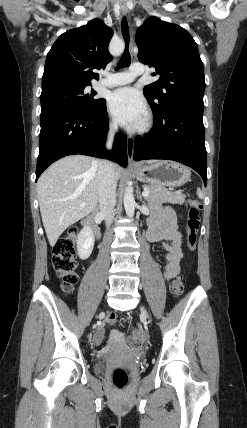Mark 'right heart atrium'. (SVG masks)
<instances>
[{"label": "right heart atrium", "instance_id": "1", "mask_svg": "<svg viewBox=\"0 0 247 428\" xmlns=\"http://www.w3.org/2000/svg\"><path fill=\"white\" fill-rule=\"evenodd\" d=\"M109 128L112 131L116 130V128H117L116 122L114 120H112V119L109 121Z\"/></svg>", "mask_w": 247, "mask_h": 428}]
</instances>
